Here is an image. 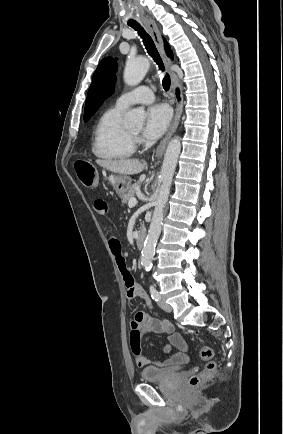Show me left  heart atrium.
<instances>
[{"mask_svg":"<svg viewBox=\"0 0 283 434\" xmlns=\"http://www.w3.org/2000/svg\"><path fill=\"white\" fill-rule=\"evenodd\" d=\"M171 115L170 108L165 104L151 106L146 113L143 135L149 140L160 138L169 126Z\"/></svg>","mask_w":283,"mask_h":434,"instance_id":"39dd6f15","label":"left heart atrium"}]
</instances>
